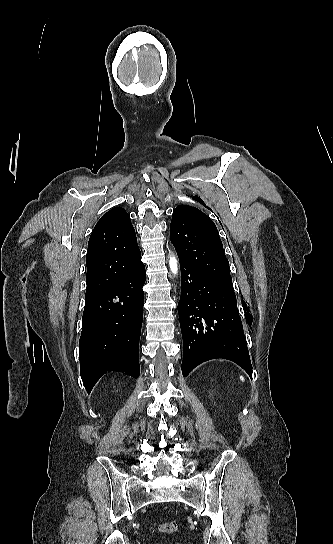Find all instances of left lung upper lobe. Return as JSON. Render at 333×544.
I'll use <instances>...</instances> for the list:
<instances>
[{
	"instance_id": "5c2ea615",
	"label": "left lung upper lobe",
	"mask_w": 333,
	"mask_h": 544,
	"mask_svg": "<svg viewBox=\"0 0 333 544\" xmlns=\"http://www.w3.org/2000/svg\"><path fill=\"white\" fill-rule=\"evenodd\" d=\"M170 239L179 261L205 274L236 298L221 239L206 214L195 207L179 205L172 215Z\"/></svg>"
}]
</instances>
